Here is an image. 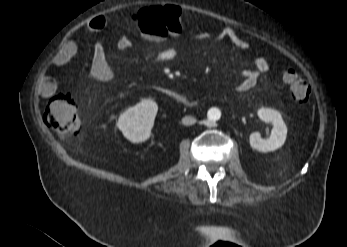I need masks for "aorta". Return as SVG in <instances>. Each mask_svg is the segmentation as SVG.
<instances>
[{"label":"aorta","mask_w":347,"mask_h":247,"mask_svg":"<svg viewBox=\"0 0 347 247\" xmlns=\"http://www.w3.org/2000/svg\"><path fill=\"white\" fill-rule=\"evenodd\" d=\"M207 116H208V121L209 122H216L217 120L220 119L221 112L217 108H211V109H209V111L207 113Z\"/></svg>","instance_id":"aorta-1"}]
</instances>
